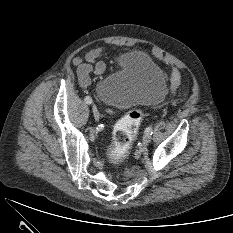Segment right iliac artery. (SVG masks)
<instances>
[{
	"instance_id": "1",
	"label": "right iliac artery",
	"mask_w": 233,
	"mask_h": 233,
	"mask_svg": "<svg viewBox=\"0 0 233 233\" xmlns=\"http://www.w3.org/2000/svg\"><path fill=\"white\" fill-rule=\"evenodd\" d=\"M84 100H85V102H86L87 104H91V103H92V98L89 97V96H86ZM108 113H109V111H108ZM110 113H111V111H110Z\"/></svg>"
}]
</instances>
